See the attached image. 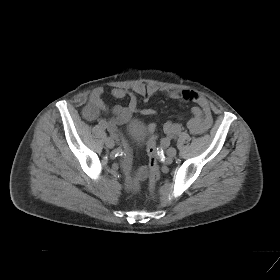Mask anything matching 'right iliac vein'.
<instances>
[{
  "instance_id": "63e3f726",
  "label": "right iliac vein",
  "mask_w": 280,
  "mask_h": 280,
  "mask_svg": "<svg viewBox=\"0 0 280 280\" xmlns=\"http://www.w3.org/2000/svg\"><path fill=\"white\" fill-rule=\"evenodd\" d=\"M105 145L108 148H113L115 146V142H114L113 138H111V137L106 138Z\"/></svg>"
}]
</instances>
